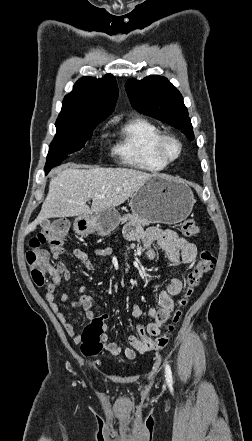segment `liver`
<instances>
[{
    "mask_svg": "<svg viewBox=\"0 0 252 441\" xmlns=\"http://www.w3.org/2000/svg\"><path fill=\"white\" fill-rule=\"evenodd\" d=\"M152 176L146 172L119 167L58 169L50 180L41 211L27 226L26 234L49 218L88 216L120 206ZM96 195L104 198H97ZM90 199L91 208L86 204Z\"/></svg>",
    "mask_w": 252,
    "mask_h": 441,
    "instance_id": "1",
    "label": "liver"
}]
</instances>
